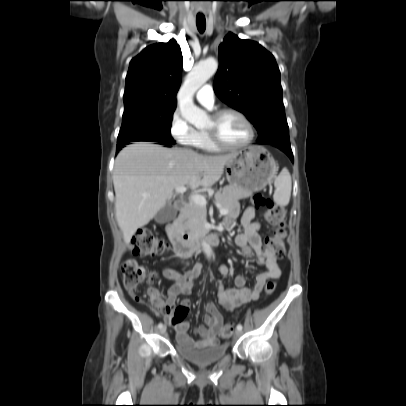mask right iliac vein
<instances>
[{"label": "right iliac vein", "instance_id": "63e3f726", "mask_svg": "<svg viewBox=\"0 0 406 406\" xmlns=\"http://www.w3.org/2000/svg\"><path fill=\"white\" fill-rule=\"evenodd\" d=\"M160 333H161V334H165V333H166V326H163L162 328H160Z\"/></svg>", "mask_w": 406, "mask_h": 406}]
</instances>
